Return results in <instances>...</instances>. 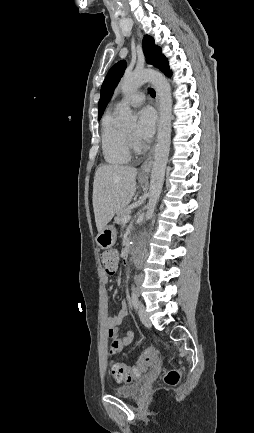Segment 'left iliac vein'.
I'll return each mask as SVG.
<instances>
[{
	"label": "left iliac vein",
	"instance_id": "obj_1",
	"mask_svg": "<svg viewBox=\"0 0 254 433\" xmlns=\"http://www.w3.org/2000/svg\"><path fill=\"white\" fill-rule=\"evenodd\" d=\"M138 309H139V317H140L142 324L146 327H150L151 322H150L148 313H147L144 305L142 303H139Z\"/></svg>",
	"mask_w": 254,
	"mask_h": 433
}]
</instances>
